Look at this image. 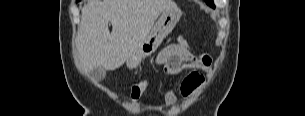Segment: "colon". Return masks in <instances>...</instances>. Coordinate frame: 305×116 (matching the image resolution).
Returning a JSON list of instances; mask_svg holds the SVG:
<instances>
[{
    "instance_id": "obj_1",
    "label": "colon",
    "mask_w": 305,
    "mask_h": 116,
    "mask_svg": "<svg viewBox=\"0 0 305 116\" xmlns=\"http://www.w3.org/2000/svg\"><path fill=\"white\" fill-rule=\"evenodd\" d=\"M179 42H185L186 40L183 37H179ZM197 77V74L195 72H191L188 74V78L195 79ZM149 83L147 80H141L136 83H134L129 91V101L131 104H138L143 96L145 95L147 89H148Z\"/></svg>"
}]
</instances>
